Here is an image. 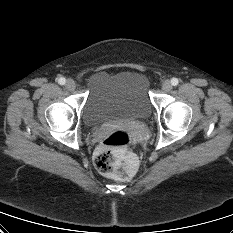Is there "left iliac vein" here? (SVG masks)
<instances>
[{
    "instance_id": "4c4485c4",
    "label": "left iliac vein",
    "mask_w": 233,
    "mask_h": 233,
    "mask_svg": "<svg viewBox=\"0 0 233 233\" xmlns=\"http://www.w3.org/2000/svg\"><path fill=\"white\" fill-rule=\"evenodd\" d=\"M162 89L165 91V92H168L172 89V84L169 80H165L162 84Z\"/></svg>"
}]
</instances>
